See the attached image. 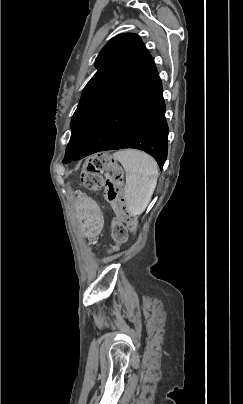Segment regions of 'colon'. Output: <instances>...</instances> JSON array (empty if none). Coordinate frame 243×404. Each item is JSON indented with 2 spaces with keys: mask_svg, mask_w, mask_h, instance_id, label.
<instances>
[{
  "mask_svg": "<svg viewBox=\"0 0 243 404\" xmlns=\"http://www.w3.org/2000/svg\"><path fill=\"white\" fill-rule=\"evenodd\" d=\"M81 181L89 190H104L106 200L119 216V220L112 226L113 239L116 244L123 243L126 240V227L123 223L134 229L136 218L125 202L123 173L120 166L107 154L94 155L86 162Z\"/></svg>",
  "mask_w": 243,
  "mask_h": 404,
  "instance_id": "obj_1",
  "label": "colon"
}]
</instances>
